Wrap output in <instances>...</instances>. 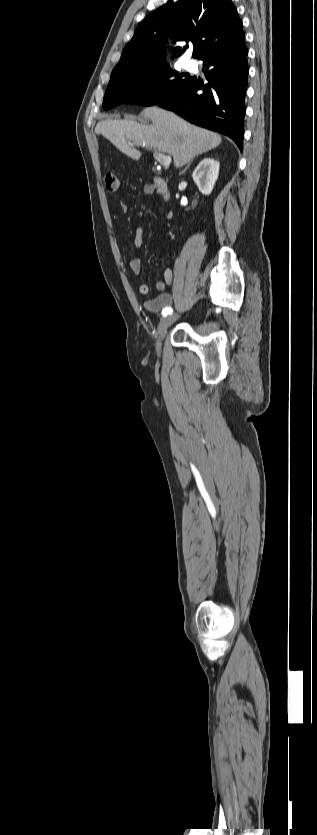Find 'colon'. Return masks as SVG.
<instances>
[{
    "label": "colon",
    "mask_w": 317,
    "mask_h": 835,
    "mask_svg": "<svg viewBox=\"0 0 317 835\" xmlns=\"http://www.w3.org/2000/svg\"><path fill=\"white\" fill-rule=\"evenodd\" d=\"M105 186L109 192L117 191L119 187V179L114 173H107L105 175Z\"/></svg>",
    "instance_id": "colon-1"
}]
</instances>
